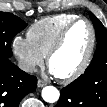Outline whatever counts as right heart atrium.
I'll list each match as a JSON object with an SVG mask.
<instances>
[{
	"label": "right heart atrium",
	"instance_id": "obj_1",
	"mask_svg": "<svg viewBox=\"0 0 107 107\" xmlns=\"http://www.w3.org/2000/svg\"><path fill=\"white\" fill-rule=\"evenodd\" d=\"M11 46L19 66L25 72H34L37 67L43 64L45 56L33 45L28 37L15 36Z\"/></svg>",
	"mask_w": 107,
	"mask_h": 107
}]
</instances>
